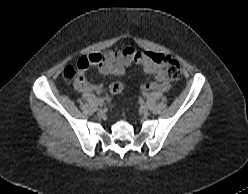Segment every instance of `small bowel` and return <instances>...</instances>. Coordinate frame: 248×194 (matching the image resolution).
<instances>
[{
	"label": "small bowel",
	"instance_id": "small-bowel-1",
	"mask_svg": "<svg viewBox=\"0 0 248 194\" xmlns=\"http://www.w3.org/2000/svg\"><path fill=\"white\" fill-rule=\"evenodd\" d=\"M154 54L156 53L125 47L120 50L92 54L91 56L97 61L95 65H98L99 71L106 75L121 76L126 72L128 66L136 64L145 73L155 77V81L143 84L141 86L142 90L166 92L171 88V82L165 76L163 67L153 61L152 56ZM75 88L86 93H100L102 91V85L88 82L84 71L79 74L78 79L75 81Z\"/></svg>",
	"mask_w": 248,
	"mask_h": 194
}]
</instances>
